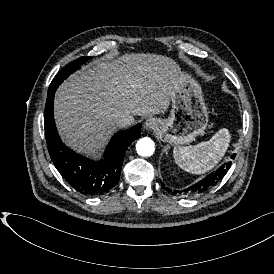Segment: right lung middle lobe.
<instances>
[{
  "label": "right lung middle lobe",
  "mask_w": 274,
  "mask_h": 274,
  "mask_svg": "<svg viewBox=\"0 0 274 274\" xmlns=\"http://www.w3.org/2000/svg\"><path fill=\"white\" fill-rule=\"evenodd\" d=\"M88 59H90V57H81L67 64L54 77V79L52 80L49 86L48 91H51V90L55 91L58 88V86L63 82L64 79H66L71 73L76 71L79 68V66L83 64L84 62H86Z\"/></svg>",
  "instance_id": "obj_1"
}]
</instances>
